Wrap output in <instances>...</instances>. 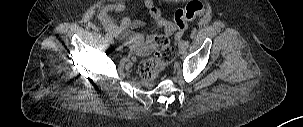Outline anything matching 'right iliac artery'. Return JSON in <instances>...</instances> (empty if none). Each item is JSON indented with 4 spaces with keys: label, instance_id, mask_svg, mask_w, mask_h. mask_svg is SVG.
<instances>
[{
    "label": "right iliac artery",
    "instance_id": "1",
    "mask_svg": "<svg viewBox=\"0 0 303 127\" xmlns=\"http://www.w3.org/2000/svg\"><path fill=\"white\" fill-rule=\"evenodd\" d=\"M105 38L107 39V41L112 42L113 38L111 35H109L108 33L105 34Z\"/></svg>",
    "mask_w": 303,
    "mask_h": 127
}]
</instances>
